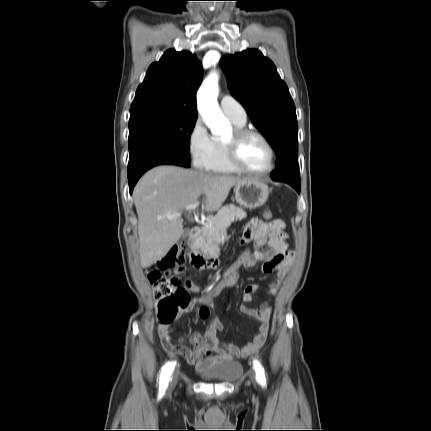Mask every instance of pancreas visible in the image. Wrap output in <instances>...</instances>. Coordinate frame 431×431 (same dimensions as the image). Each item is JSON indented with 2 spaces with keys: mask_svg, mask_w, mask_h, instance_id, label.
<instances>
[{
  "mask_svg": "<svg viewBox=\"0 0 431 431\" xmlns=\"http://www.w3.org/2000/svg\"><path fill=\"white\" fill-rule=\"evenodd\" d=\"M246 212L230 204L222 207L215 216L207 219V223L202 227V236L199 238V248L206 256H216L220 253L218 244L221 242L223 232L235 220L246 218Z\"/></svg>",
  "mask_w": 431,
  "mask_h": 431,
  "instance_id": "1",
  "label": "pancreas"
}]
</instances>
